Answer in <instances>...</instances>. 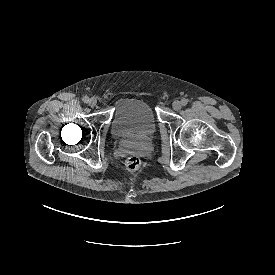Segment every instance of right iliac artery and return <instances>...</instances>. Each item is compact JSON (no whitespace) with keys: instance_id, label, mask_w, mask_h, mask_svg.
Listing matches in <instances>:
<instances>
[{"instance_id":"obj_1","label":"right iliac artery","mask_w":275,"mask_h":275,"mask_svg":"<svg viewBox=\"0 0 275 275\" xmlns=\"http://www.w3.org/2000/svg\"><path fill=\"white\" fill-rule=\"evenodd\" d=\"M83 102H84V103H88V102H89V98H88L87 96H85V97L83 98Z\"/></svg>"}]
</instances>
